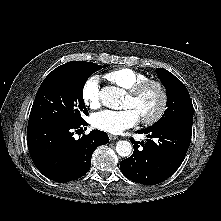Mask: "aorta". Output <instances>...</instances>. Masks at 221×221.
I'll return each instance as SVG.
<instances>
[{"instance_id":"obj_1","label":"aorta","mask_w":221,"mask_h":221,"mask_svg":"<svg viewBox=\"0 0 221 221\" xmlns=\"http://www.w3.org/2000/svg\"><path fill=\"white\" fill-rule=\"evenodd\" d=\"M122 97V89L114 86L104 88L100 95L102 104L111 109H119ZM116 152L121 157H128L132 153V144L128 141L120 140L116 144Z\"/></svg>"}]
</instances>
